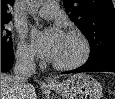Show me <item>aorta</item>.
Returning a JSON list of instances; mask_svg holds the SVG:
<instances>
[{"mask_svg": "<svg viewBox=\"0 0 115 99\" xmlns=\"http://www.w3.org/2000/svg\"><path fill=\"white\" fill-rule=\"evenodd\" d=\"M42 3V0H38V1H34L33 3H32V5L33 6H38V5H40Z\"/></svg>", "mask_w": 115, "mask_h": 99, "instance_id": "obj_1", "label": "aorta"}]
</instances>
